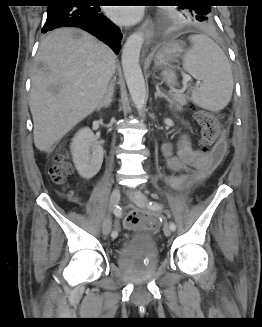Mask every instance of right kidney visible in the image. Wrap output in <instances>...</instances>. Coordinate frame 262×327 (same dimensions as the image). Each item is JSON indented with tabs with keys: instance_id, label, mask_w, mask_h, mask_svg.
<instances>
[{
	"instance_id": "right-kidney-1",
	"label": "right kidney",
	"mask_w": 262,
	"mask_h": 327,
	"mask_svg": "<svg viewBox=\"0 0 262 327\" xmlns=\"http://www.w3.org/2000/svg\"><path fill=\"white\" fill-rule=\"evenodd\" d=\"M73 162L80 176L91 179L100 170L104 151L89 128L79 130L72 139Z\"/></svg>"
}]
</instances>
